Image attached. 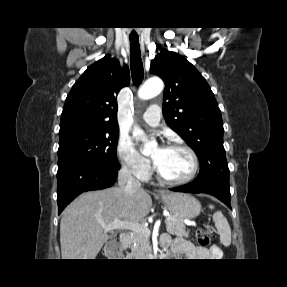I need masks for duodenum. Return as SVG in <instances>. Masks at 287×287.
I'll return each instance as SVG.
<instances>
[{"label":"duodenum","mask_w":287,"mask_h":287,"mask_svg":"<svg viewBox=\"0 0 287 287\" xmlns=\"http://www.w3.org/2000/svg\"><path fill=\"white\" fill-rule=\"evenodd\" d=\"M120 242L124 247H127L131 242V235L129 232L124 231L120 234ZM108 254H112V248L109 246L106 248ZM114 254V253H113Z\"/></svg>","instance_id":"1"}]
</instances>
